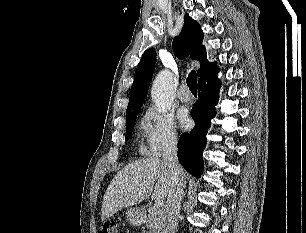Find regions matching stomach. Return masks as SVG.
I'll use <instances>...</instances> for the list:
<instances>
[{"mask_svg": "<svg viewBox=\"0 0 306 233\" xmlns=\"http://www.w3.org/2000/svg\"><path fill=\"white\" fill-rule=\"evenodd\" d=\"M127 219L134 226L141 225L144 220V212L139 208H129L126 212Z\"/></svg>", "mask_w": 306, "mask_h": 233, "instance_id": "0dacf381", "label": "stomach"}]
</instances>
